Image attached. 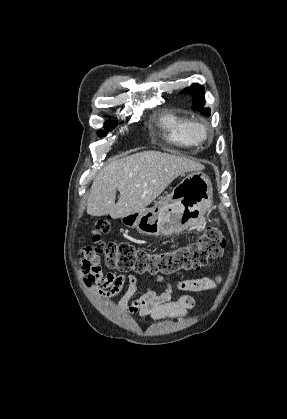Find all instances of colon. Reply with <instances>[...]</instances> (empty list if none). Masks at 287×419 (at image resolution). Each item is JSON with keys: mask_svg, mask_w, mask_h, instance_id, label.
<instances>
[{"mask_svg": "<svg viewBox=\"0 0 287 419\" xmlns=\"http://www.w3.org/2000/svg\"><path fill=\"white\" fill-rule=\"evenodd\" d=\"M110 222L99 219L93 230L92 250L104 255L107 266L137 274L171 275L180 271L198 270L220 257L226 239L215 221L195 242L168 252H151L127 243L105 242L101 235L108 232Z\"/></svg>", "mask_w": 287, "mask_h": 419, "instance_id": "colon-1", "label": "colon"}]
</instances>
